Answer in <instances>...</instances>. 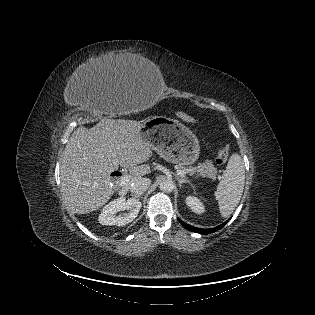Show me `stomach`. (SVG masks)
I'll use <instances>...</instances> for the list:
<instances>
[{
	"label": "stomach",
	"instance_id": "1",
	"mask_svg": "<svg viewBox=\"0 0 315 315\" xmlns=\"http://www.w3.org/2000/svg\"><path fill=\"white\" fill-rule=\"evenodd\" d=\"M140 134L166 161L194 164L200 153L196 135L182 123L166 116H154L142 123Z\"/></svg>",
	"mask_w": 315,
	"mask_h": 315
}]
</instances>
